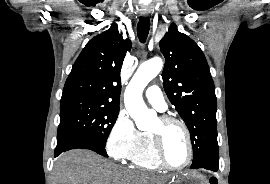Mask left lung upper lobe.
Returning <instances> with one entry per match:
<instances>
[{
    "label": "left lung upper lobe",
    "instance_id": "obj_1",
    "mask_svg": "<svg viewBox=\"0 0 270 184\" xmlns=\"http://www.w3.org/2000/svg\"><path fill=\"white\" fill-rule=\"evenodd\" d=\"M165 57L163 86L191 135L193 162L218 159L216 96L209 66L199 46L172 24L159 43Z\"/></svg>",
    "mask_w": 270,
    "mask_h": 184
}]
</instances>
